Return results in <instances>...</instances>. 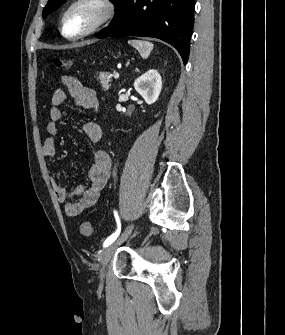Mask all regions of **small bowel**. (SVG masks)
<instances>
[{
    "label": "small bowel",
    "mask_w": 285,
    "mask_h": 335,
    "mask_svg": "<svg viewBox=\"0 0 285 335\" xmlns=\"http://www.w3.org/2000/svg\"><path fill=\"white\" fill-rule=\"evenodd\" d=\"M62 83L78 106L91 112H95L98 109L99 101L93 89L85 87L77 78L72 76H63ZM66 97V91L60 88L53 93L51 98L50 121L46 127L48 137L42 145V152L49 159L53 158L56 153L55 137L59 132L58 123L63 118L61 106L65 103ZM82 131L93 143L98 142L101 137V129L92 119L83 124ZM111 171L112 160L110 155L103 150H96L88 167L86 184L80 185L75 190L74 194L78 196L76 201H72L66 188L52 177L51 185L56 199L64 203V214L69 218H75L84 210L93 206L98 201Z\"/></svg>",
    "instance_id": "c3829d8e"
}]
</instances>
